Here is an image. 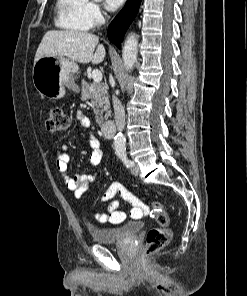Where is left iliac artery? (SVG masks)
Masks as SVG:
<instances>
[{"mask_svg":"<svg viewBox=\"0 0 247 296\" xmlns=\"http://www.w3.org/2000/svg\"><path fill=\"white\" fill-rule=\"evenodd\" d=\"M118 156L127 168L134 166V163L128 159L126 152H124V151L118 152Z\"/></svg>","mask_w":247,"mask_h":296,"instance_id":"obj_1","label":"left iliac artery"}]
</instances>
